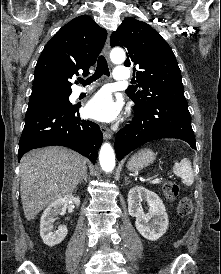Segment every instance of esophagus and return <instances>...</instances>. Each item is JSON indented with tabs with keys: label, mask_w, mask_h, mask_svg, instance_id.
<instances>
[{
	"label": "esophagus",
	"mask_w": 221,
	"mask_h": 274,
	"mask_svg": "<svg viewBox=\"0 0 221 274\" xmlns=\"http://www.w3.org/2000/svg\"><path fill=\"white\" fill-rule=\"evenodd\" d=\"M109 53H110V43H109V36H108L107 40L105 42V45H104V55L107 59L109 58ZM100 129H101L105 139H111L112 138V132L108 127H106L104 125H101Z\"/></svg>",
	"instance_id": "obj_1"
}]
</instances>
